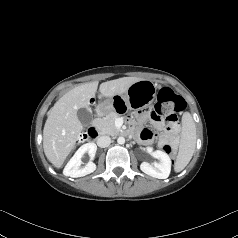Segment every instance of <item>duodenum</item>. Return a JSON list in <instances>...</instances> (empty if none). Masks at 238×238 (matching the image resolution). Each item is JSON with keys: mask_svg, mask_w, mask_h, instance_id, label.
<instances>
[{"mask_svg": "<svg viewBox=\"0 0 238 238\" xmlns=\"http://www.w3.org/2000/svg\"><path fill=\"white\" fill-rule=\"evenodd\" d=\"M101 114H102V111H99L98 115H101ZM87 133H88L90 138H97L98 135H99L98 130L93 126L88 129Z\"/></svg>", "mask_w": 238, "mask_h": 238, "instance_id": "obj_1", "label": "duodenum"}]
</instances>
